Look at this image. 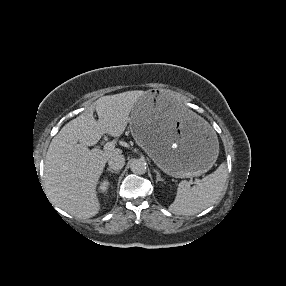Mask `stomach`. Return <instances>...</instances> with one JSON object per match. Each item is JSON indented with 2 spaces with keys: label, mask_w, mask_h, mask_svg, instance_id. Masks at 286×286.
<instances>
[{
  "label": "stomach",
  "mask_w": 286,
  "mask_h": 286,
  "mask_svg": "<svg viewBox=\"0 0 286 286\" xmlns=\"http://www.w3.org/2000/svg\"><path fill=\"white\" fill-rule=\"evenodd\" d=\"M129 127L136 142L170 176H200L218 157L214 128L185 107L176 93L145 92L131 111Z\"/></svg>",
  "instance_id": "stomach-1"
}]
</instances>
